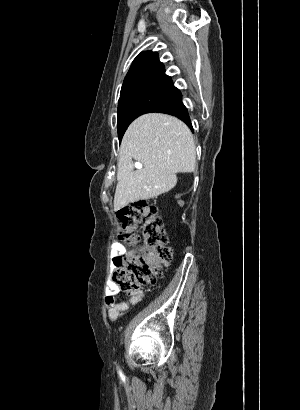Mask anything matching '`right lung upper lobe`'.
Masks as SVG:
<instances>
[{
    "mask_svg": "<svg viewBox=\"0 0 300 410\" xmlns=\"http://www.w3.org/2000/svg\"><path fill=\"white\" fill-rule=\"evenodd\" d=\"M172 82L165 74L164 66L156 52H143L133 61L122 85V89L142 83Z\"/></svg>",
    "mask_w": 300,
    "mask_h": 410,
    "instance_id": "right-lung-upper-lobe-1",
    "label": "right lung upper lobe"
}]
</instances>
